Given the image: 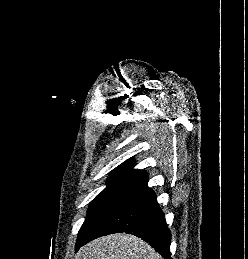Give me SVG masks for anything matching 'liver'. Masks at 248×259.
<instances>
[{"label":"liver","mask_w":248,"mask_h":259,"mask_svg":"<svg viewBox=\"0 0 248 259\" xmlns=\"http://www.w3.org/2000/svg\"><path fill=\"white\" fill-rule=\"evenodd\" d=\"M77 259H163L148 243L129 234H111L87 243Z\"/></svg>","instance_id":"1"}]
</instances>
